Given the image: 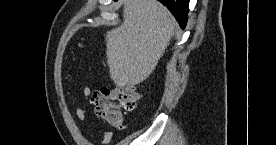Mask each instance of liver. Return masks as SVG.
I'll use <instances>...</instances> for the list:
<instances>
[{"mask_svg": "<svg viewBox=\"0 0 276 145\" xmlns=\"http://www.w3.org/2000/svg\"><path fill=\"white\" fill-rule=\"evenodd\" d=\"M175 21L157 0H125L123 23L106 34L110 77L116 86L137 85L154 71L174 34Z\"/></svg>", "mask_w": 276, "mask_h": 145, "instance_id": "1", "label": "liver"}]
</instances>
